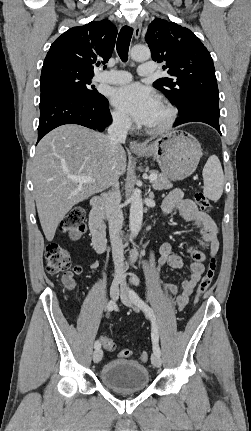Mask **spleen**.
<instances>
[{
    "instance_id": "3e777b00",
    "label": "spleen",
    "mask_w": 251,
    "mask_h": 431,
    "mask_svg": "<svg viewBox=\"0 0 251 431\" xmlns=\"http://www.w3.org/2000/svg\"><path fill=\"white\" fill-rule=\"evenodd\" d=\"M202 174L205 196L213 201L219 200L223 193L224 174L220 160L216 155L209 157Z\"/></svg>"
}]
</instances>
